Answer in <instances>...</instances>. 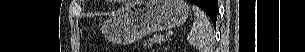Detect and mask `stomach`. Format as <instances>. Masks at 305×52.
Returning a JSON list of instances; mask_svg holds the SVG:
<instances>
[{
	"label": "stomach",
	"mask_w": 305,
	"mask_h": 52,
	"mask_svg": "<svg viewBox=\"0 0 305 52\" xmlns=\"http://www.w3.org/2000/svg\"><path fill=\"white\" fill-rule=\"evenodd\" d=\"M189 12L184 0H136L109 17L102 33L109 41L129 44L149 33L182 25Z\"/></svg>",
	"instance_id": "stomach-1"
}]
</instances>
